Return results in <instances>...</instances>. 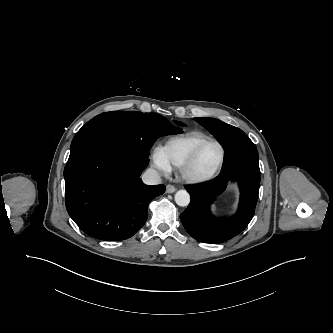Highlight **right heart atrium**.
<instances>
[{
    "label": "right heart atrium",
    "mask_w": 333,
    "mask_h": 333,
    "mask_svg": "<svg viewBox=\"0 0 333 333\" xmlns=\"http://www.w3.org/2000/svg\"><path fill=\"white\" fill-rule=\"evenodd\" d=\"M152 164L163 174H168L171 171V167L163 160L158 150L154 151L152 155Z\"/></svg>",
    "instance_id": "d8ad5b80"
}]
</instances>
